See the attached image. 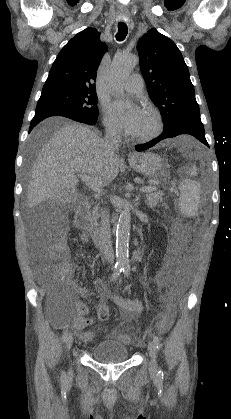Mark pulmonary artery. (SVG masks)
Masks as SVG:
<instances>
[{"label": "pulmonary artery", "mask_w": 231, "mask_h": 419, "mask_svg": "<svg viewBox=\"0 0 231 419\" xmlns=\"http://www.w3.org/2000/svg\"><path fill=\"white\" fill-rule=\"evenodd\" d=\"M124 89L133 94H138L143 91L144 82L140 74L131 75L123 84Z\"/></svg>", "instance_id": "obj_1"}]
</instances>
